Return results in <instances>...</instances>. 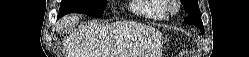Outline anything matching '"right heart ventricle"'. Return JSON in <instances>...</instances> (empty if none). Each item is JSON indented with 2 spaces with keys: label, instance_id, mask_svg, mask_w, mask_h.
<instances>
[{
  "label": "right heart ventricle",
  "instance_id": "right-heart-ventricle-1",
  "mask_svg": "<svg viewBox=\"0 0 249 57\" xmlns=\"http://www.w3.org/2000/svg\"><path fill=\"white\" fill-rule=\"evenodd\" d=\"M165 2L163 0H134L131 3V10L144 19L162 21L168 19Z\"/></svg>",
  "mask_w": 249,
  "mask_h": 57
}]
</instances>
